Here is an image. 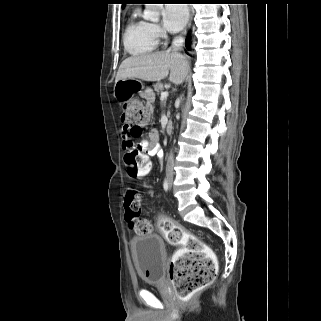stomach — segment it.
Wrapping results in <instances>:
<instances>
[{
  "label": "stomach",
  "mask_w": 321,
  "mask_h": 321,
  "mask_svg": "<svg viewBox=\"0 0 321 321\" xmlns=\"http://www.w3.org/2000/svg\"><path fill=\"white\" fill-rule=\"evenodd\" d=\"M141 89L140 81L132 78L122 79L115 82L114 95L118 100L126 102L134 93L141 92Z\"/></svg>",
  "instance_id": "1"
}]
</instances>
